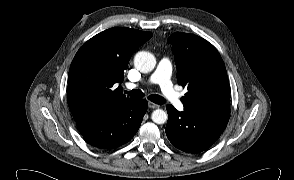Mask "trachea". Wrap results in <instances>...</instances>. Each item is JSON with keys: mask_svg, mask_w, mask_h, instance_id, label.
Returning <instances> with one entry per match:
<instances>
[{"mask_svg": "<svg viewBox=\"0 0 294 180\" xmlns=\"http://www.w3.org/2000/svg\"><path fill=\"white\" fill-rule=\"evenodd\" d=\"M125 94H128L131 98H142L144 97V93L139 90V89H133L130 92L125 91ZM148 99L156 104H164L165 103V99L157 94H153L148 96Z\"/></svg>", "mask_w": 294, "mask_h": 180, "instance_id": "obj_1", "label": "trachea"}]
</instances>
